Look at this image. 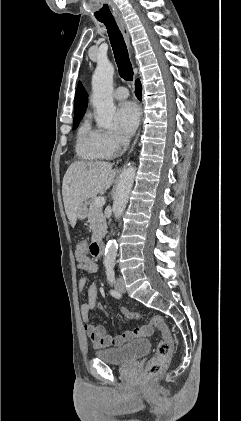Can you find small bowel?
Masks as SVG:
<instances>
[{
  "label": "small bowel",
  "mask_w": 241,
  "mask_h": 421,
  "mask_svg": "<svg viewBox=\"0 0 241 421\" xmlns=\"http://www.w3.org/2000/svg\"><path fill=\"white\" fill-rule=\"evenodd\" d=\"M76 260L80 269L89 274H95L98 271V264L88 255H80L76 252ZM79 291L87 290V300L80 307L81 317L84 323V330L91 344L95 348L119 347L124 343L148 336L152 333L153 328L149 324H144L133 330H127L120 335H111L103 325H95L90 321V314L95 309L102 310L106 316L108 313L104 307L98 302V287L96 282L88 284V280L82 277L78 280Z\"/></svg>",
  "instance_id": "obj_1"
}]
</instances>
